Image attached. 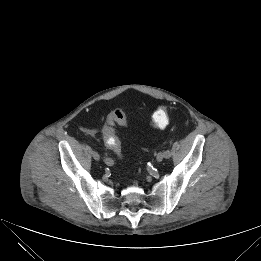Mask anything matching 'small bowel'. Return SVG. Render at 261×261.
Masks as SVG:
<instances>
[{
	"label": "small bowel",
	"mask_w": 261,
	"mask_h": 261,
	"mask_svg": "<svg viewBox=\"0 0 261 261\" xmlns=\"http://www.w3.org/2000/svg\"><path fill=\"white\" fill-rule=\"evenodd\" d=\"M86 132L88 133V134H93V132L91 131V130H86Z\"/></svg>",
	"instance_id": "obj_1"
}]
</instances>
